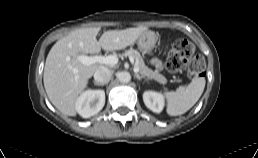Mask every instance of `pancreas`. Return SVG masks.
Listing matches in <instances>:
<instances>
[{"mask_svg": "<svg viewBox=\"0 0 258 158\" xmlns=\"http://www.w3.org/2000/svg\"><path fill=\"white\" fill-rule=\"evenodd\" d=\"M124 56H132L135 59L136 65L139 68V72L142 76H146L148 79H154L161 84H165L167 82L163 75L157 71L151 70L145 65L141 54L137 50L130 48L124 52Z\"/></svg>", "mask_w": 258, "mask_h": 158, "instance_id": "cf45deb5", "label": "pancreas"}]
</instances>
